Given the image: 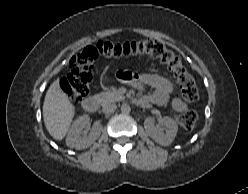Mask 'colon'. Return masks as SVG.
Here are the masks:
<instances>
[{"label": "colon", "instance_id": "obj_1", "mask_svg": "<svg viewBox=\"0 0 248 194\" xmlns=\"http://www.w3.org/2000/svg\"><path fill=\"white\" fill-rule=\"evenodd\" d=\"M144 55L157 59L173 74L180 85L181 95L186 102L194 103L197 101L199 97L198 86L180 58L163 43L152 39L124 43L99 41L94 46L84 48L70 59L69 72L61 80L62 90L72 103H79L89 93V87L94 79V62L98 56L125 58ZM130 74L132 73L122 72L120 77L128 80ZM196 119V113L188 111L178 117V122L181 127L191 129Z\"/></svg>", "mask_w": 248, "mask_h": 194}]
</instances>
